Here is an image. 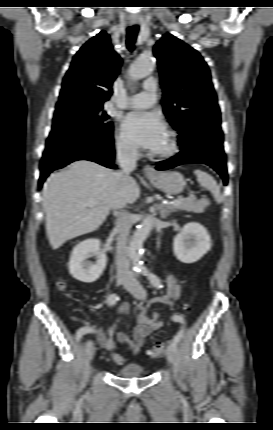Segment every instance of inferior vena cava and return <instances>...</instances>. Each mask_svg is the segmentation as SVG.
Returning <instances> with one entry per match:
<instances>
[{
	"label": "inferior vena cava",
	"instance_id": "obj_1",
	"mask_svg": "<svg viewBox=\"0 0 273 430\" xmlns=\"http://www.w3.org/2000/svg\"><path fill=\"white\" fill-rule=\"evenodd\" d=\"M137 158L138 151L136 148L118 147L116 160L120 166V171L116 174V178L120 184L125 183L130 172L136 168ZM115 208L120 210L115 228L118 233L116 258L117 276L133 281L134 277L130 271L126 247L130 228L132 226V218L129 213L123 210L125 208V202L122 199L117 200Z\"/></svg>",
	"mask_w": 273,
	"mask_h": 430
}]
</instances>
